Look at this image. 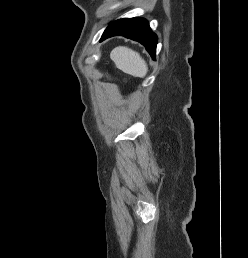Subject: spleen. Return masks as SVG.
I'll return each mask as SVG.
<instances>
[{
	"label": "spleen",
	"instance_id": "spleen-1",
	"mask_svg": "<svg viewBox=\"0 0 248 258\" xmlns=\"http://www.w3.org/2000/svg\"><path fill=\"white\" fill-rule=\"evenodd\" d=\"M110 58L118 69L134 77L143 78L148 72L145 60L139 53L128 47L114 48L110 53Z\"/></svg>",
	"mask_w": 248,
	"mask_h": 258
}]
</instances>
